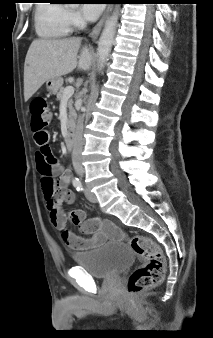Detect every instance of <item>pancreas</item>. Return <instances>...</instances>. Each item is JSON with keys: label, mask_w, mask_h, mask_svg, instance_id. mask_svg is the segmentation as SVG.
I'll return each instance as SVG.
<instances>
[{"label": "pancreas", "mask_w": 213, "mask_h": 338, "mask_svg": "<svg viewBox=\"0 0 213 338\" xmlns=\"http://www.w3.org/2000/svg\"><path fill=\"white\" fill-rule=\"evenodd\" d=\"M64 90H65V88L61 87L59 89V91L57 92V100L58 101L62 100ZM67 107H68V110H69V112H68V125L70 126V125L74 124L75 119H76V112H75V109L73 107V100L71 98L68 99Z\"/></svg>", "instance_id": "cf45deb5"}]
</instances>
